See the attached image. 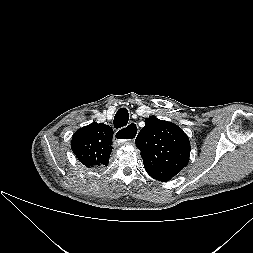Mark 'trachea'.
Returning a JSON list of instances; mask_svg holds the SVG:
<instances>
[{
  "label": "trachea",
  "mask_w": 253,
  "mask_h": 253,
  "mask_svg": "<svg viewBox=\"0 0 253 253\" xmlns=\"http://www.w3.org/2000/svg\"><path fill=\"white\" fill-rule=\"evenodd\" d=\"M129 120V113L126 108H120L114 117V127L121 128L127 125Z\"/></svg>",
  "instance_id": "trachea-1"
}]
</instances>
